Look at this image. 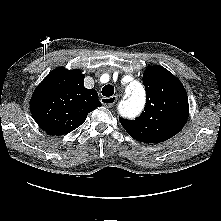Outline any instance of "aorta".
<instances>
[{
	"label": "aorta",
	"instance_id": "aorta-1",
	"mask_svg": "<svg viewBox=\"0 0 221 221\" xmlns=\"http://www.w3.org/2000/svg\"><path fill=\"white\" fill-rule=\"evenodd\" d=\"M127 100L119 107V111L123 115L134 117L138 115L145 104V92L142 86L136 82H132L126 89Z\"/></svg>",
	"mask_w": 221,
	"mask_h": 221
}]
</instances>
